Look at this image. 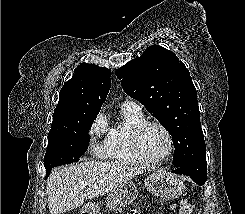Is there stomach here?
I'll return each mask as SVG.
<instances>
[{"mask_svg": "<svg viewBox=\"0 0 245 214\" xmlns=\"http://www.w3.org/2000/svg\"><path fill=\"white\" fill-rule=\"evenodd\" d=\"M144 183L149 192L165 200L178 198L185 190L182 179L164 171H157L148 175ZM137 192V187L132 182H126L107 196L106 207L109 210L127 207L136 199ZM97 208L98 205L92 203L84 206V210L88 214H97Z\"/></svg>", "mask_w": 245, "mask_h": 214, "instance_id": "1", "label": "stomach"}]
</instances>
